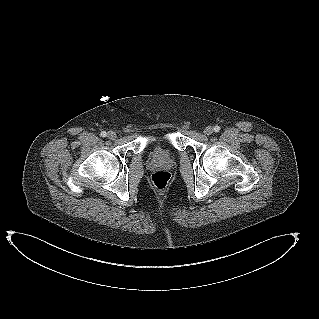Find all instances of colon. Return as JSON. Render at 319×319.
<instances>
[{"instance_id":"1","label":"colon","mask_w":319,"mask_h":319,"mask_svg":"<svg viewBox=\"0 0 319 319\" xmlns=\"http://www.w3.org/2000/svg\"><path fill=\"white\" fill-rule=\"evenodd\" d=\"M152 184L158 190H164L170 183L171 174L166 170H157L151 176Z\"/></svg>"}]
</instances>
